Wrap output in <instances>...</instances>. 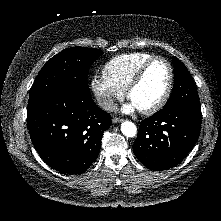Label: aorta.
I'll list each match as a JSON object with an SVG mask.
<instances>
[{"instance_id":"aorta-1","label":"aorta","mask_w":221,"mask_h":221,"mask_svg":"<svg viewBox=\"0 0 221 221\" xmlns=\"http://www.w3.org/2000/svg\"><path fill=\"white\" fill-rule=\"evenodd\" d=\"M121 131L126 137H134L137 133V128L133 122L124 121L121 124Z\"/></svg>"}]
</instances>
